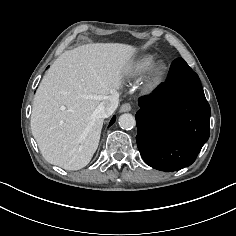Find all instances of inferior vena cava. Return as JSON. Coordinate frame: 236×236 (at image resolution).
Returning <instances> with one entry per match:
<instances>
[{"instance_id": "1", "label": "inferior vena cava", "mask_w": 236, "mask_h": 236, "mask_svg": "<svg viewBox=\"0 0 236 236\" xmlns=\"http://www.w3.org/2000/svg\"><path fill=\"white\" fill-rule=\"evenodd\" d=\"M119 96L117 94L109 95L105 101H103L98 109L97 113L101 118H108L111 116L118 107Z\"/></svg>"}]
</instances>
